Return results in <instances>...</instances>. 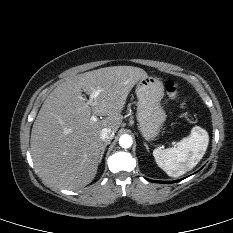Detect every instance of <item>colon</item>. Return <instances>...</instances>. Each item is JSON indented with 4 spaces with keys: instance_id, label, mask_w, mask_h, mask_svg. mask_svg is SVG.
<instances>
[{
    "instance_id": "obj_1",
    "label": "colon",
    "mask_w": 233,
    "mask_h": 233,
    "mask_svg": "<svg viewBox=\"0 0 233 233\" xmlns=\"http://www.w3.org/2000/svg\"><path fill=\"white\" fill-rule=\"evenodd\" d=\"M179 89L180 86L177 82H175L174 80H167L165 83V90L167 93V96L173 100V101H177L179 98Z\"/></svg>"
}]
</instances>
